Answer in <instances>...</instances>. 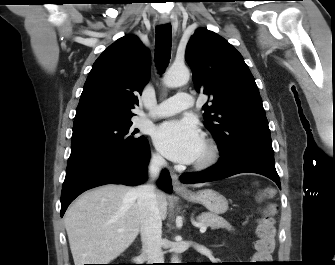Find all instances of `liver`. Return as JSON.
Instances as JSON below:
<instances>
[{
  "instance_id": "obj_1",
  "label": "liver",
  "mask_w": 335,
  "mask_h": 265,
  "mask_svg": "<svg viewBox=\"0 0 335 265\" xmlns=\"http://www.w3.org/2000/svg\"><path fill=\"white\" fill-rule=\"evenodd\" d=\"M156 197L165 219L166 196L158 191ZM137 200L136 188L109 184L86 192L68 208L64 224L75 265L108 264L133 243L140 230Z\"/></svg>"
}]
</instances>
